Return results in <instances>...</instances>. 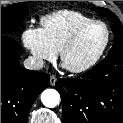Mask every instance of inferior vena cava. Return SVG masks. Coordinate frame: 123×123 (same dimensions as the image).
<instances>
[{"label":"inferior vena cava","mask_w":123,"mask_h":123,"mask_svg":"<svg viewBox=\"0 0 123 123\" xmlns=\"http://www.w3.org/2000/svg\"><path fill=\"white\" fill-rule=\"evenodd\" d=\"M24 67L29 70H40L44 67V61L40 57L30 56L24 61Z\"/></svg>","instance_id":"602c4592"}]
</instances>
